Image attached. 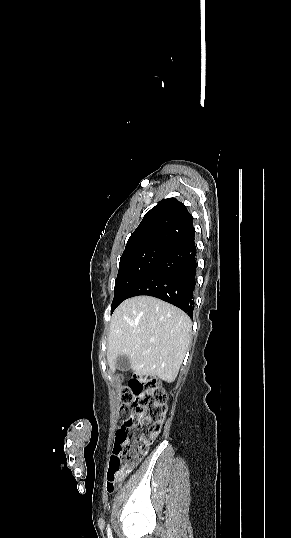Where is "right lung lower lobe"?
<instances>
[{"label": "right lung lower lobe", "mask_w": 291, "mask_h": 538, "mask_svg": "<svg viewBox=\"0 0 291 538\" xmlns=\"http://www.w3.org/2000/svg\"><path fill=\"white\" fill-rule=\"evenodd\" d=\"M196 268V246L192 237L172 248L138 283L129 298L138 295L157 297L192 317Z\"/></svg>", "instance_id": "obj_1"}]
</instances>
